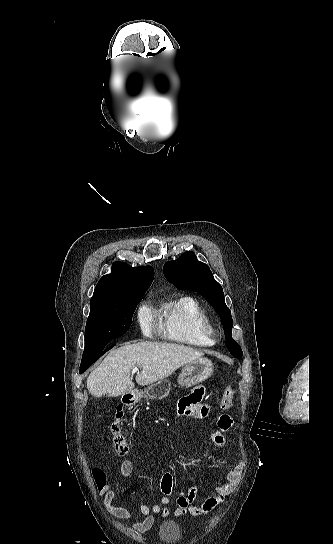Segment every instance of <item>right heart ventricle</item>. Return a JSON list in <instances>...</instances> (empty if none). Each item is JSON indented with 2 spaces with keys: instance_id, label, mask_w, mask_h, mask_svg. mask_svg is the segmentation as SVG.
Returning a JSON list of instances; mask_svg holds the SVG:
<instances>
[{
  "instance_id": "right-heart-ventricle-1",
  "label": "right heart ventricle",
  "mask_w": 333,
  "mask_h": 544,
  "mask_svg": "<svg viewBox=\"0 0 333 544\" xmlns=\"http://www.w3.org/2000/svg\"><path fill=\"white\" fill-rule=\"evenodd\" d=\"M164 336L198 347L215 343L214 328L203 306L193 297L183 296L165 302L159 310Z\"/></svg>"
}]
</instances>
